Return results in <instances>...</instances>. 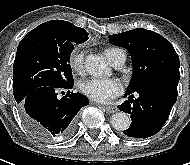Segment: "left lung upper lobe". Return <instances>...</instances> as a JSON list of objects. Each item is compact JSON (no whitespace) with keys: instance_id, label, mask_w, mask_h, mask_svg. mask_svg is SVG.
Here are the masks:
<instances>
[{"instance_id":"obj_1","label":"left lung upper lobe","mask_w":190,"mask_h":165,"mask_svg":"<svg viewBox=\"0 0 190 165\" xmlns=\"http://www.w3.org/2000/svg\"><path fill=\"white\" fill-rule=\"evenodd\" d=\"M108 38L112 44L126 48L132 57L133 75L127 92L156 78L180 79L179 57L173 46L158 33L137 28Z\"/></svg>"}]
</instances>
